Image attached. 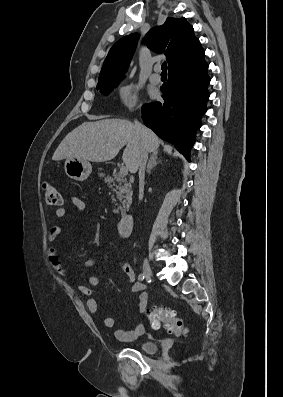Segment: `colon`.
Masks as SVG:
<instances>
[{"label":"colon","mask_w":283,"mask_h":397,"mask_svg":"<svg viewBox=\"0 0 283 397\" xmlns=\"http://www.w3.org/2000/svg\"><path fill=\"white\" fill-rule=\"evenodd\" d=\"M45 202L51 207H58L62 203V198L59 191L48 182L42 186ZM148 320L153 329H159L164 326L170 332L181 335L187 332L186 323L178 318L175 312L164 306H154L148 313Z\"/></svg>","instance_id":"5ec220e1"}]
</instances>
